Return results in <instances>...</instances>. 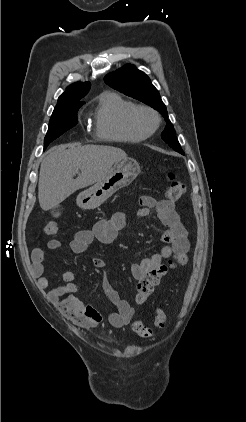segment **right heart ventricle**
<instances>
[{"instance_id": "1", "label": "right heart ventricle", "mask_w": 246, "mask_h": 422, "mask_svg": "<svg viewBox=\"0 0 246 422\" xmlns=\"http://www.w3.org/2000/svg\"><path fill=\"white\" fill-rule=\"evenodd\" d=\"M138 106L116 92L102 94L94 111L96 135L107 141L141 142L147 135L137 130L132 121V113Z\"/></svg>"}]
</instances>
